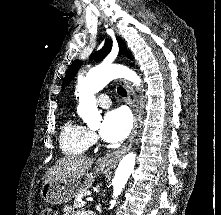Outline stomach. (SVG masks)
Returning a JSON list of instances; mask_svg holds the SVG:
<instances>
[{"label": "stomach", "instance_id": "stomach-1", "mask_svg": "<svg viewBox=\"0 0 221 215\" xmlns=\"http://www.w3.org/2000/svg\"><path fill=\"white\" fill-rule=\"evenodd\" d=\"M103 170L105 165L99 164L94 172H84L74 179L46 182L41 188V197L45 202L53 205L69 202L81 192L88 190L93 184L95 175Z\"/></svg>", "mask_w": 221, "mask_h": 215}]
</instances>
